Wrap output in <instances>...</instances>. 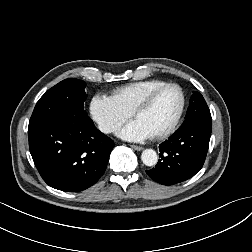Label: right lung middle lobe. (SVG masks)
Returning a JSON list of instances; mask_svg holds the SVG:
<instances>
[{
    "label": "right lung middle lobe",
    "mask_w": 252,
    "mask_h": 252,
    "mask_svg": "<svg viewBox=\"0 0 252 252\" xmlns=\"http://www.w3.org/2000/svg\"><path fill=\"white\" fill-rule=\"evenodd\" d=\"M86 83L78 79H65L49 89L37 102L29 124L64 114L88 117L84 109Z\"/></svg>",
    "instance_id": "1"
}]
</instances>
